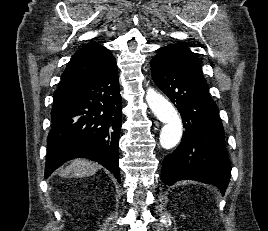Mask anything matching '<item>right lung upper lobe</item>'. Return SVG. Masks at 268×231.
Here are the masks:
<instances>
[{
    "instance_id": "right-lung-upper-lobe-1",
    "label": "right lung upper lobe",
    "mask_w": 268,
    "mask_h": 231,
    "mask_svg": "<svg viewBox=\"0 0 268 231\" xmlns=\"http://www.w3.org/2000/svg\"><path fill=\"white\" fill-rule=\"evenodd\" d=\"M115 57L102 45L90 44L79 49L71 58L59 88L55 92L72 91L80 83L109 66Z\"/></svg>"
}]
</instances>
